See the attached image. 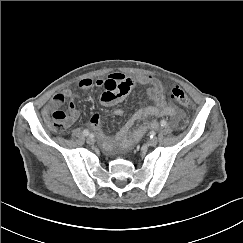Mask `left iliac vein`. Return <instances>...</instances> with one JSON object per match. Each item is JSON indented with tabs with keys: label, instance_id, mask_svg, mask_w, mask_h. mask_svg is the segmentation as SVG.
<instances>
[{
	"label": "left iliac vein",
	"instance_id": "4c4485c4",
	"mask_svg": "<svg viewBox=\"0 0 243 243\" xmlns=\"http://www.w3.org/2000/svg\"><path fill=\"white\" fill-rule=\"evenodd\" d=\"M157 143H158L157 138H151V139H149V140L147 141V145H148V146H151V147L156 146Z\"/></svg>",
	"mask_w": 243,
	"mask_h": 243
}]
</instances>
